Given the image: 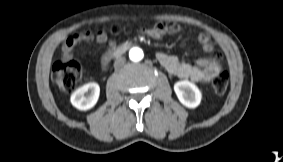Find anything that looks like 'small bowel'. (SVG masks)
I'll return each mask as SVG.
<instances>
[{
  "label": "small bowel",
  "instance_id": "small-bowel-1",
  "mask_svg": "<svg viewBox=\"0 0 283 162\" xmlns=\"http://www.w3.org/2000/svg\"><path fill=\"white\" fill-rule=\"evenodd\" d=\"M181 27L176 23H157L149 28H144L141 31L146 35L159 39L166 34H176L180 32ZM198 42L202 46L204 52L212 54L214 46L211 42L210 36L207 33L198 34ZM96 41L98 44L107 43V52L100 59V66L102 69L98 70L99 74L107 70V67L113 62V57L110 52L116 50L117 45L115 42H108L106 33L99 32L97 35L92 34L90 31L76 32L70 35L62 46V59L64 61L73 58V48L82 42ZM220 54H215L210 58H199L195 65L181 61L174 55L165 52H159L157 59L159 63L173 76L181 79H191L194 82L207 83L214 79L221 71L219 61Z\"/></svg>",
  "mask_w": 283,
  "mask_h": 162
}]
</instances>
